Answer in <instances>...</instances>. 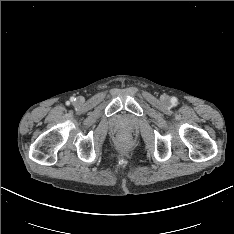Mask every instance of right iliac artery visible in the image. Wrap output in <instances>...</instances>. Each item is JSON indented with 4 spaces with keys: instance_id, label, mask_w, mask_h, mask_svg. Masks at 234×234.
<instances>
[{
    "instance_id": "82829eb1",
    "label": "right iliac artery",
    "mask_w": 234,
    "mask_h": 234,
    "mask_svg": "<svg viewBox=\"0 0 234 234\" xmlns=\"http://www.w3.org/2000/svg\"><path fill=\"white\" fill-rule=\"evenodd\" d=\"M74 100H75V99L72 97V98H71V101H74Z\"/></svg>"
}]
</instances>
